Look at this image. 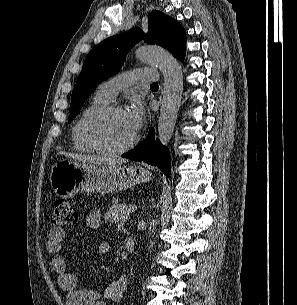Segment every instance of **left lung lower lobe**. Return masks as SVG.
<instances>
[{
    "label": "left lung lower lobe",
    "mask_w": 297,
    "mask_h": 305,
    "mask_svg": "<svg viewBox=\"0 0 297 305\" xmlns=\"http://www.w3.org/2000/svg\"><path fill=\"white\" fill-rule=\"evenodd\" d=\"M154 136L155 133L152 129L144 142L140 143L132 151L123 154L122 157L134 161L144 160L146 163L162 169L170 176L171 170L168 150L158 140H155Z\"/></svg>",
    "instance_id": "obj_1"
}]
</instances>
